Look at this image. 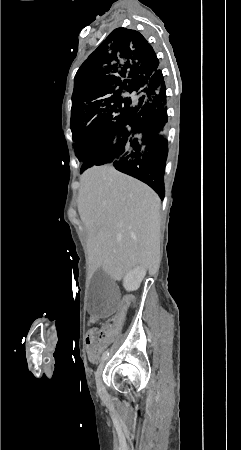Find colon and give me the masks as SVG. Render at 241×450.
Listing matches in <instances>:
<instances>
[{
  "instance_id": "5ec220e1",
  "label": "colon",
  "mask_w": 241,
  "mask_h": 450,
  "mask_svg": "<svg viewBox=\"0 0 241 450\" xmlns=\"http://www.w3.org/2000/svg\"><path fill=\"white\" fill-rule=\"evenodd\" d=\"M89 324L92 326L94 323L91 321Z\"/></svg>"
}]
</instances>
